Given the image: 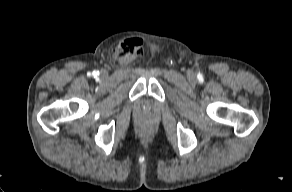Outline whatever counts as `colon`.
Listing matches in <instances>:
<instances>
[{
    "label": "colon",
    "instance_id": "colon-1",
    "mask_svg": "<svg viewBox=\"0 0 292 192\" xmlns=\"http://www.w3.org/2000/svg\"><path fill=\"white\" fill-rule=\"evenodd\" d=\"M141 48V42L137 40H129L126 41L121 46V54H132V53H139Z\"/></svg>",
    "mask_w": 292,
    "mask_h": 192
}]
</instances>
